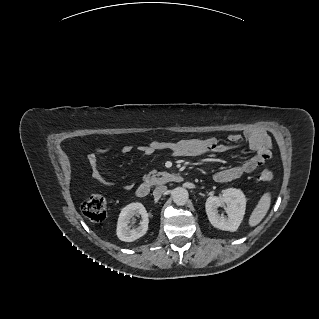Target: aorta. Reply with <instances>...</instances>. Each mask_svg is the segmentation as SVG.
Returning a JSON list of instances; mask_svg holds the SVG:
<instances>
[{
	"label": "aorta",
	"mask_w": 319,
	"mask_h": 319,
	"mask_svg": "<svg viewBox=\"0 0 319 319\" xmlns=\"http://www.w3.org/2000/svg\"><path fill=\"white\" fill-rule=\"evenodd\" d=\"M189 198L188 191L183 187H177L172 191V199L178 206H183L187 203Z\"/></svg>",
	"instance_id": "obj_1"
}]
</instances>
